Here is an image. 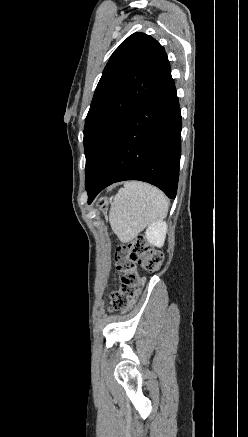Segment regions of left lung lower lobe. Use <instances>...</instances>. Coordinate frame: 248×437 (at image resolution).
<instances>
[{
  "instance_id": "0a47b994",
  "label": "left lung lower lobe",
  "mask_w": 248,
  "mask_h": 437,
  "mask_svg": "<svg viewBox=\"0 0 248 437\" xmlns=\"http://www.w3.org/2000/svg\"><path fill=\"white\" fill-rule=\"evenodd\" d=\"M181 112L169 74L117 133L87 189L88 203L105 187L141 180L175 198L181 155Z\"/></svg>"
}]
</instances>
